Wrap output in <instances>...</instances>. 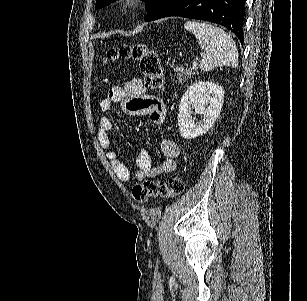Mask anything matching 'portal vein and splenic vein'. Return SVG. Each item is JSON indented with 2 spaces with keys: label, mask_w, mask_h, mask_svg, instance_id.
Masks as SVG:
<instances>
[{
  "label": "portal vein and splenic vein",
  "mask_w": 307,
  "mask_h": 301,
  "mask_svg": "<svg viewBox=\"0 0 307 301\" xmlns=\"http://www.w3.org/2000/svg\"><path fill=\"white\" fill-rule=\"evenodd\" d=\"M192 68H194V70H196V68H198V62H196V60H194V62H192Z\"/></svg>",
  "instance_id": "obj_1"
}]
</instances>
